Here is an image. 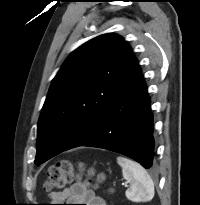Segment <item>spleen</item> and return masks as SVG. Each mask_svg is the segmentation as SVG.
Instances as JSON below:
<instances>
[{
	"instance_id": "obj_1",
	"label": "spleen",
	"mask_w": 200,
	"mask_h": 205,
	"mask_svg": "<svg viewBox=\"0 0 200 205\" xmlns=\"http://www.w3.org/2000/svg\"><path fill=\"white\" fill-rule=\"evenodd\" d=\"M123 178L130 183L126 197L132 202H147L154 197V183L147 171L137 162L118 156Z\"/></svg>"
}]
</instances>
